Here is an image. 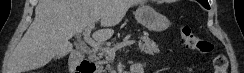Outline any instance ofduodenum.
Returning <instances> with one entry per match:
<instances>
[{"mask_svg":"<svg viewBox=\"0 0 244 73\" xmlns=\"http://www.w3.org/2000/svg\"><path fill=\"white\" fill-rule=\"evenodd\" d=\"M69 68L71 73H93L94 66L85 59L84 51L75 50L69 57ZM133 70L131 69V72Z\"/></svg>","mask_w":244,"mask_h":73,"instance_id":"duodenum-1","label":"duodenum"}]
</instances>
